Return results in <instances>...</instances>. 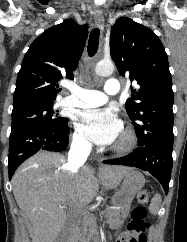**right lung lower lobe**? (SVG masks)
Segmentation results:
<instances>
[{"label":"right lung lower lobe","instance_id":"obj_1","mask_svg":"<svg viewBox=\"0 0 187 242\" xmlns=\"http://www.w3.org/2000/svg\"><path fill=\"white\" fill-rule=\"evenodd\" d=\"M69 129L22 127L11 130L9 137V179L17 167L38 151L61 152L67 149Z\"/></svg>","mask_w":187,"mask_h":242}]
</instances>
